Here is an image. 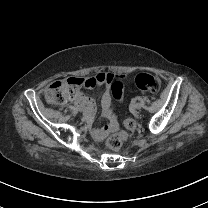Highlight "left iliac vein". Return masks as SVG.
Masks as SVG:
<instances>
[{
	"label": "left iliac vein",
	"instance_id": "obj_1",
	"mask_svg": "<svg viewBox=\"0 0 208 208\" xmlns=\"http://www.w3.org/2000/svg\"><path fill=\"white\" fill-rule=\"evenodd\" d=\"M142 108V104L141 103H136L135 104V109L140 110Z\"/></svg>",
	"mask_w": 208,
	"mask_h": 208
}]
</instances>
